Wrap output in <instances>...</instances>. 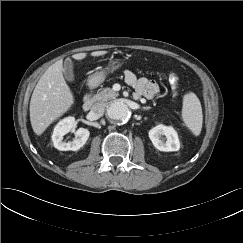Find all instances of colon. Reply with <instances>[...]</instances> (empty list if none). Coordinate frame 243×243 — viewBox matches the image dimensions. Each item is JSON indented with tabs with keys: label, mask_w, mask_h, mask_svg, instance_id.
I'll list each match as a JSON object with an SVG mask.
<instances>
[{
	"label": "colon",
	"mask_w": 243,
	"mask_h": 243,
	"mask_svg": "<svg viewBox=\"0 0 243 243\" xmlns=\"http://www.w3.org/2000/svg\"><path fill=\"white\" fill-rule=\"evenodd\" d=\"M169 82H170V84H171V86H172L173 89H177V87H178V82H179V78H178V76L175 75V74H171V75L169 76Z\"/></svg>",
	"instance_id": "1"
}]
</instances>
